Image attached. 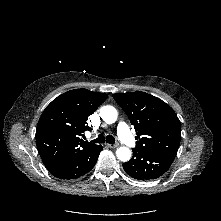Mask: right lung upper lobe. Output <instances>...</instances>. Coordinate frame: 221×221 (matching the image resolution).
Listing matches in <instances>:
<instances>
[{
    "label": "right lung upper lobe",
    "instance_id": "1",
    "mask_svg": "<svg viewBox=\"0 0 221 221\" xmlns=\"http://www.w3.org/2000/svg\"><path fill=\"white\" fill-rule=\"evenodd\" d=\"M108 97L105 93L74 89L55 98L42 113L36 129V145L47 169L95 144L80 139L91 115Z\"/></svg>",
    "mask_w": 221,
    "mask_h": 221
}]
</instances>
